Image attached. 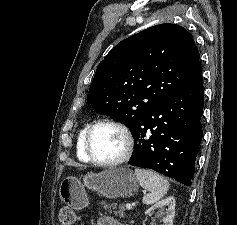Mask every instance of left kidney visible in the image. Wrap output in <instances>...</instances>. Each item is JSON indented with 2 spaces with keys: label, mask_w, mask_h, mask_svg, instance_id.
Returning a JSON list of instances; mask_svg holds the SVG:
<instances>
[{
  "label": "left kidney",
  "mask_w": 237,
  "mask_h": 225,
  "mask_svg": "<svg viewBox=\"0 0 237 225\" xmlns=\"http://www.w3.org/2000/svg\"><path fill=\"white\" fill-rule=\"evenodd\" d=\"M175 205L176 201L173 196H169L164 200L154 204L151 208H149L145 214H150L153 210H159V216H163L162 222L164 225H173V218L175 215ZM166 208V211H164ZM145 225V224H143Z\"/></svg>",
  "instance_id": "obj_1"
}]
</instances>
